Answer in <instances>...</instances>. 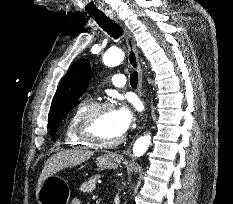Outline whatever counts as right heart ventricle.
<instances>
[{
  "label": "right heart ventricle",
  "instance_id": "obj_1",
  "mask_svg": "<svg viewBox=\"0 0 233 204\" xmlns=\"http://www.w3.org/2000/svg\"><path fill=\"white\" fill-rule=\"evenodd\" d=\"M88 105L89 103L86 101L80 102L68 117L65 126L64 137L66 144H68L69 146L77 147L90 145L79 136L77 131L79 118Z\"/></svg>",
  "mask_w": 233,
  "mask_h": 204
}]
</instances>
